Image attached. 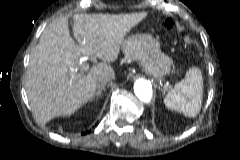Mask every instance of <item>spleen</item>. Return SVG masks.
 <instances>
[{
    "label": "spleen",
    "mask_w": 240,
    "mask_h": 160,
    "mask_svg": "<svg viewBox=\"0 0 240 160\" xmlns=\"http://www.w3.org/2000/svg\"><path fill=\"white\" fill-rule=\"evenodd\" d=\"M203 79L198 68H191L165 96V105L187 116L195 117L201 108Z\"/></svg>",
    "instance_id": "3e777b00"
}]
</instances>
